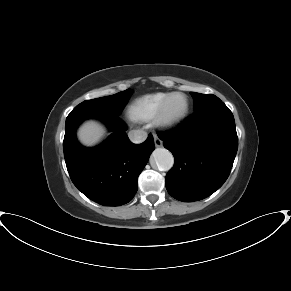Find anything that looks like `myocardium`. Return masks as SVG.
Instances as JSON below:
<instances>
[{
  "label": "myocardium",
  "instance_id": "myocardium-1",
  "mask_svg": "<svg viewBox=\"0 0 291 291\" xmlns=\"http://www.w3.org/2000/svg\"><path fill=\"white\" fill-rule=\"evenodd\" d=\"M176 97H182L184 99V106L180 111L172 110V101ZM189 112V101L185 94L180 92H175L169 94V96L163 102L158 115L156 117L157 122L163 126H174L180 123Z\"/></svg>",
  "mask_w": 291,
  "mask_h": 291
}]
</instances>
